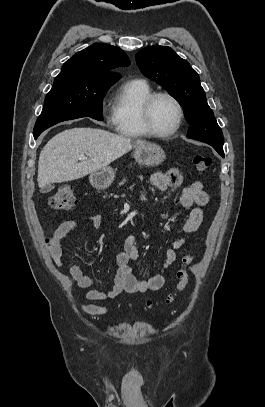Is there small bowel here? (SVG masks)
Masks as SVG:
<instances>
[{
	"label": "small bowel",
	"mask_w": 265,
	"mask_h": 407,
	"mask_svg": "<svg viewBox=\"0 0 265 407\" xmlns=\"http://www.w3.org/2000/svg\"><path fill=\"white\" fill-rule=\"evenodd\" d=\"M149 182L161 193L169 188L181 186L182 175L177 169H170L166 173L156 172L150 175ZM142 199H145L142 196ZM181 205L190 208V212L182 227L183 236L175 239L164 254L163 266L159 273L147 280H139L133 273L129 263L139 259L137 239L133 235H127L122 239V248L115 257L117 267L113 287L109 290H102L96 287L93 277L84 274L78 265L69 267L70 278L81 288L87 290L86 299L91 303L82 305V310L90 316H102L109 312L110 307L105 304L117 298L121 293H145L161 289L165 283V270L171 266L177 258L176 251L182 248L188 237L195 233L203 221V207L209 203V195L204 190L203 184L199 180L192 181L182 190ZM166 215L163 214L162 217ZM102 218L98 214L70 218L62 222L54 231L50 253L57 267L62 266L61 241L68 233L81 225H87L93 229L101 226Z\"/></svg>",
	"instance_id": "1"
}]
</instances>
